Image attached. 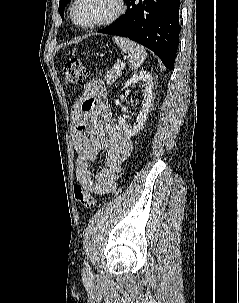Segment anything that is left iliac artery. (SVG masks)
Here are the masks:
<instances>
[{
    "instance_id": "1",
    "label": "left iliac artery",
    "mask_w": 239,
    "mask_h": 303,
    "mask_svg": "<svg viewBox=\"0 0 239 303\" xmlns=\"http://www.w3.org/2000/svg\"><path fill=\"white\" fill-rule=\"evenodd\" d=\"M85 266L88 267V264L86 262H84Z\"/></svg>"
}]
</instances>
